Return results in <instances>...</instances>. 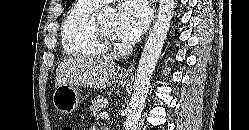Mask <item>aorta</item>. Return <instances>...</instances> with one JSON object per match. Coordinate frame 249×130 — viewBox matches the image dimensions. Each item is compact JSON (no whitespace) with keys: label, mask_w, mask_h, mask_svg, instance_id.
<instances>
[{"label":"aorta","mask_w":249,"mask_h":130,"mask_svg":"<svg viewBox=\"0 0 249 130\" xmlns=\"http://www.w3.org/2000/svg\"><path fill=\"white\" fill-rule=\"evenodd\" d=\"M174 0H160L157 19L143 48L136 72L134 92L128 106L125 130H136L148 95L150 80L170 28ZM114 15V10L104 8L101 17Z\"/></svg>","instance_id":"aorta-1"}]
</instances>
